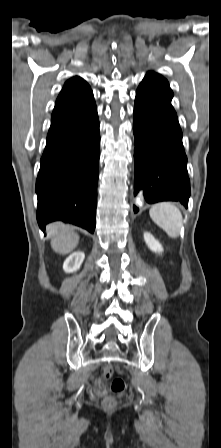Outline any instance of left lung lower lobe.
I'll use <instances>...</instances> for the list:
<instances>
[{"label": "left lung lower lobe", "mask_w": 221, "mask_h": 448, "mask_svg": "<svg viewBox=\"0 0 221 448\" xmlns=\"http://www.w3.org/2000/svg\"><path fill=\"white\" fill-rule=\"evenodd\" d=\"M171 100L142 87L136 91L135 194L144 189L147 203L180 201L187 207L190 196L187 157ZM134 211H138L136 206Z\"/></svg>", "instance_id": "0a47b994"}]
</instances>
